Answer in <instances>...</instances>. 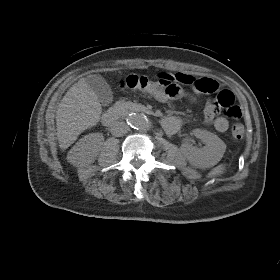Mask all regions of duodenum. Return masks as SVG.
<instances>
[{
	"instance_id": "obj_1",
	"label": "duodenum",
	"mask_w": 280,
	"mask_h": 280,
	"mask_svg": "<svg viewBox=\"0 0 280 280\" xmlns=\"http://www.w3.org/2000/svg\"><path fill=\"white\" fill-rule=\"evenodd\" d=\"M121 114L122 111L120 109H110L102 115L101 122L104 126H111L116 122V120L121 116Z\"/></svg>"
}]
</instances>
